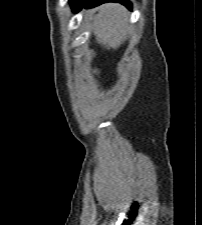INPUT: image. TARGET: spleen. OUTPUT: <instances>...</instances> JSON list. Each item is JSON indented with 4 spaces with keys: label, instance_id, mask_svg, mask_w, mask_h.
<instances>
[{
    "label": "spleen",
    "instance_id": "obj_1",
    "mask_svg": "<svg viewBox=\"0 0 202 225\" xmlns=\"http://www.w3.org/2000/svg\"><path fill=\"white\" fill-rule=\"evenodd\" d=\"M130 27L126 9L118 4L103 6L93 21V31L98 43L116 49L126 39Z\"/></svg>",
    "mask_w": 202,
    "mask_h": 225
}]
</instances>
